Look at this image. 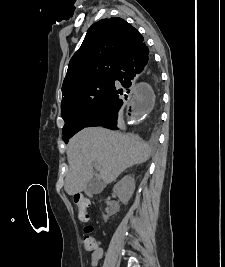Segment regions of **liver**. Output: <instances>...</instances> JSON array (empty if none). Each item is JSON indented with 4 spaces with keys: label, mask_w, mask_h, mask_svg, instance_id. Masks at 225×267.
Wrapping results in <instances>:
<instances>
[{
    "label": "liver",
    "mask_w": 225,
    "mask_h": 267,
    "mask_svg": "<svg viewBox=\"0 0 225 267\" xmlns=\"http://www.w3.org/2000/svg\"><path fill=\"white\" fill-rule=\"evenodd\" d=\"M150 154V147L137 135H123L101 127L85 128L67 146L70 168L65 191L69 195L85 191L94 176L93 163H97L98 179L108 184L128 167L146 162Z\"/></svg>",
    "instance_id": "obj_1"
}]
</instances>
